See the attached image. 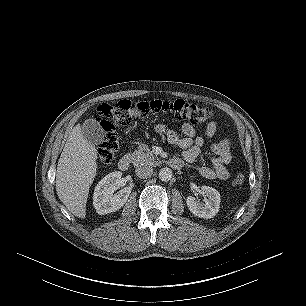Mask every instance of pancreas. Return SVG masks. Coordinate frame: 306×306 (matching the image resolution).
<instances>
[{
    "mask_svg": "<svg viewBox=\"0 0 306 306\" xmlns=\"http://www.w3.org/2000/svg\"><path fill=\"white\" fill-rule=\"evenodd\" d=\"M131 160L135 166L157 164L156 157L145 144L139 145L138 149L131 154Z\"/></svg>",
    "mask_w": 306,
    "mask_h": 306,
    "instance_id": "1",
    "label": "pancreas"
}]
</instances>
